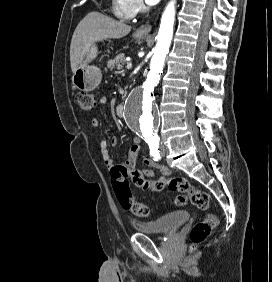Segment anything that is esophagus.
Returning <instances> with one entry per match:
<instances>
[{"instance_id":"esophagus-1","label":"esophagus","mask_w":272,"mask_h":282,"mask_svg":"<svg viewBox=\"0 0 272 282\" xmlns=\"http://www.w3.org/2000/svg\"><path fill=\"white\" fill-rule=\"evenodd\" d=\"M152 29V25L149 23L143 24L138 27L137 33L143 34V35H148Z\"/></svg>"}]
</instances>
